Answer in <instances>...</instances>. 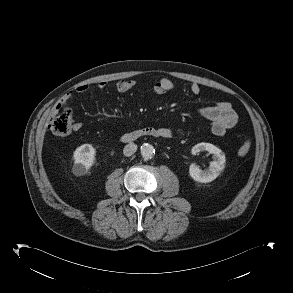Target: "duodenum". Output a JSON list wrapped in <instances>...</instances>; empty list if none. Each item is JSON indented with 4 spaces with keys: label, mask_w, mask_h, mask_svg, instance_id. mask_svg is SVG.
Returning a JSON list of instances; mask_svg holds the SVG:
<instances>
[{
    "label": "duodenum",
    "mask_w": 293,
    "mask_h": 293,
    "mask_svg": "<svg viewBox=\"0 0 293 293\" xmlns=\"http://www.w3.org/2000/svg\"><path fill=\"white\" fill-rule=\"evenodd\" d=\"M143 136H154L159 137L162 136L161 132L153 127H145L142 129H138L132 132H128L121 137L122 142L129 143L133 142Z\"/></svg>",
    "instance_id": "obj_1"
}]
</instances>
